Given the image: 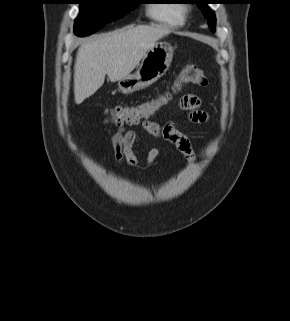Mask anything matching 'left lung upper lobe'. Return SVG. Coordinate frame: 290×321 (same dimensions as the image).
Here are the masks:
<instances>
[{"label":"left lung upper lobe","instance_id":"1","mask_svg":"<svg viewBox=\"0 0 290 321\" xmlns=\"http://www.w3.org/2000/svg\"><path fill=\"white\" fill-rule=\"evenodd\" d=\"M198 6L202 9L203 15L207 18L209 28L214 31L215 30V15L214 12L211 11L206 4H208L209 0H197Z\"/></svg>","mask_w":290,"mask_h":321}]
</instances>
